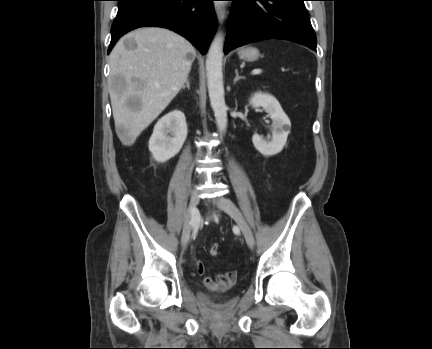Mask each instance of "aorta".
I'll return each instance as SVG.
<instances>
[{"mask_svg": "<svg viewBox=\"0 0 432 349\" xmlns=\"http://www.w3.org/2000/svg\"><path fill=\"white\" fill-rule=\"evenodd\" d=\"M222 60L223 36L219 33L212 40L208 50L206 74L210 104L220 132H224L227 126V106L224 97Z\"/></svg>", "mask_w": 432, "mask_h": 349, "instance_id": "obj_1", "label": "aorta"}]
</instances>
